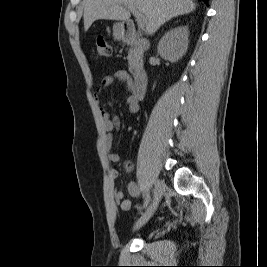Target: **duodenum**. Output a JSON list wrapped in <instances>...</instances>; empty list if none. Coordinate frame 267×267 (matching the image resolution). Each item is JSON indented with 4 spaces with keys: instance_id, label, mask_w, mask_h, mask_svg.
<instances>
[{
    "instance_id": "1",
    "label": "duodenum",
    "mask_w": 267,
    "mask_h": 267,
    "mask_svg": "<svg viewBox=\"0 0 267 267\" xmlns=\"http://www.w3.org/2000/svg\"><path fill=\"white\" fill-rule=\"evenodd\" d=\"M122 35L126 42L133 43L138 45L142 49H147L149 47V43L139 38L135 25L132 21H126L123 25ZM133 85H132V93L135 98L142 99L146 92L148 76L147 72L143 67H137L133 71Z\"/></svg>"
}]
</instances>
